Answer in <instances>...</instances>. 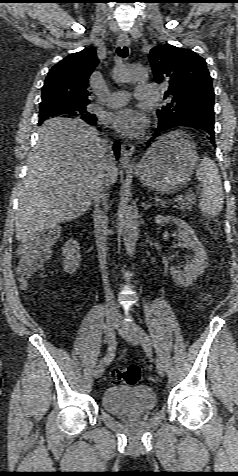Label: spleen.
I'll use <instances>...</instances> for the list:
<instances>
[{
  "label": "spleen",
  "mask_w": 238,
  "mask_h": 476,
  "mask_svg": "<svg viewBox=\"0 0 238 476\" xmlns=\"http://www.w3.org/2000/svg\"><path fill=\"white\" fill-rule=\"evenodd\" d=\"M196 177L202 184L201 199L198 207L205 215L214 217L222 210L224 196L219 170L209 157H203Z\"/></svg>",
  "instance_id": "1"
}]
</instances>
